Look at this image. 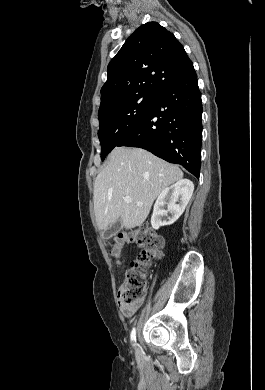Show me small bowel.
<instances>
[{"label": "small bowel", "instance_id": "c3829d8e", "mask_svg": "<svg viewBox=\"0 0 265 390\" xmlns=\"http://www.w3.org/2000/svg\"><path fill=\"white\" fill-rule=\"evenodd\" d=\"M142 303H143V300H141L135 304H132V305H124V304L120 303V310L124 316L131 317L134 313H136V311H138V309L141 307Z\"/></svg>", "mask_w": 265, "mask_h": 390}]
</instances>
